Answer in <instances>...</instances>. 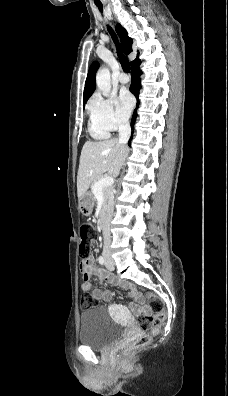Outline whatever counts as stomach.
<instances>
[{
    "label": "stomach",
    "instance_id": "obj_1",
    "mask_svg": "<svg viewBox=\"0 0 228 396\" xmlns=\"http://www.w3.org/2000/svg\"><path fill=\"white\" fill-rule=\"evenodd\" d=\"M95 199L93 194L90 191H86L80 198H79V208L81 213L84 216H89L94 207Z\"/></svg>",
    "mask_w": 228,
    "mask_h": 396
}]
</instances>
